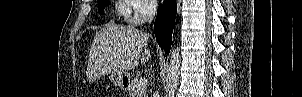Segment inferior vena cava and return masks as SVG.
<instances>
[{
	"mask_svg": "<svg viewBox=\"0 0 302 97\" xmlns=\"http://www.w3.org/2000/svg\"><path fill=\"white\" fill-rule=\"evenodd\" d=\"M146 10H147V21L148 23H151L154 19L157 10V1L149 0L146 6Z\"/></svg>",
	"mask_w": 302,
	"mask_h": 97,
	"instance_id": "obj_1",
	"label": "inferior vena cava"
}]
</instances>
